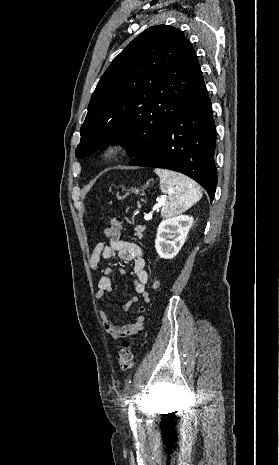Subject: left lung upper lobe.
Instances as JSON below:
<instances>
[{
    "label": "left lung upper lobe",
    "mask_w": 279,
    "mask_h": 465,
    "mask_svg": "<svg viewBox=\"0 0 279 465\" xmlns=\"http://www.w3.org/2000/svg\"><path fill=\"white\" fill-rule=\"evenodd\" d=\"M199 69L193 46L179 29H146L98 82L76 157L111 143L124 144L133 160L146 152L183 107Z\"/></svg>",
    "instance_id": "5c2ea615"
}]
</instances>
